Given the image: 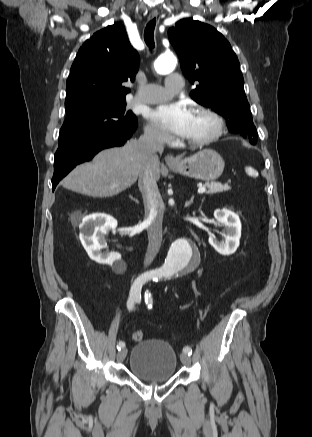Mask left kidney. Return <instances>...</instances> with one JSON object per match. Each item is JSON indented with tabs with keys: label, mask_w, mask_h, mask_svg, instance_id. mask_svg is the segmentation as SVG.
<instances>
[{
	"label": "left kidney",
	"mask_w": 312,
	"mask_h": 437,
	"mask_svg": "<svg viewBox=\"0 0 312 437\" xmlns=\"http://www.w3.org/2000/svg\"><path fill=\"white\" fill-rule=\"evenodd\" d=\"M214 217L218 224L224 226L225 240L219 242L214 236H210L209 243L218 253L231 255L239 247V240L241 238L240 218L237 214L227 209L215 210Z\"/></svg>",
	"instance_id": "obj_1"
}]
</instances>
